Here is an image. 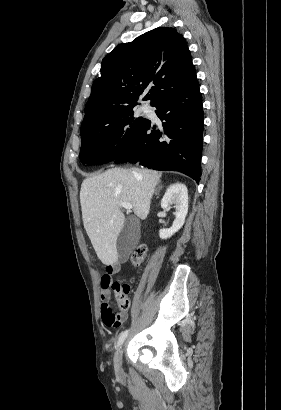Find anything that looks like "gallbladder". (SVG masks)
<instances>
[{
	"instance_id": "1",
	"label": "gallbladder",
	"mask_w": 281,
	"mask_h": 410,
	"mask_svg": "<svg viewBox=\"0 0 281 410\" xmlns=\"http://www.w3.org/2000/svg\"><path fill=\"white\" fill-rule=\"evenodd\" d=\"M139 239L137 225L132 217L126 219L124 226L117 239L118 260L124 263L131 251L137 245Z\"/></svg>"
}]
</instances>
